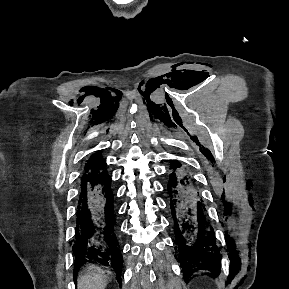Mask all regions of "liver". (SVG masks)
Here are the masks:
<instances>
[{
  "label": "liver",
  "mask_w": 289,
  "mask_h": 289,
  "mask_svg": "<svg viewBox=\"0 0 289 289\" xmlns=\"http://www.w3.org/2000/svg\"><path fill=\"white\" fill-rule=\"evenodd\" d=\"M109 275L101 268L89 265L86 273L78 278V289H105Z\"/></svg>",
  "instance_id": "obj_1"
}]
</instances>
